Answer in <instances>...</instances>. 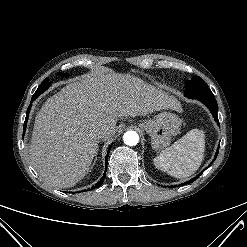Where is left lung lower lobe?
Listing matches in <instances>:
<instances>
[{
    "label": "left lung lower lobe",
    "mask_w": 247,
    "mask_h": 247,
    "mask_svg": "<svg viewBox=\"0 0 247 247\" xmlns=\"http://www.w3.org/2000/svg\"><path fill=\"white\" fill-rule=\"evenodd\" d=\"M199 101H201L205 106L208 107V109L211 111L215 121L219 124L218 117H217V102L215 100V97H208V98H195ZM219 152V148L217 149V153L214 158L217 157ZM201 174L197 175L199 177Z\"/></svg>",
    "instance_id": "1"
}]
</instances>
